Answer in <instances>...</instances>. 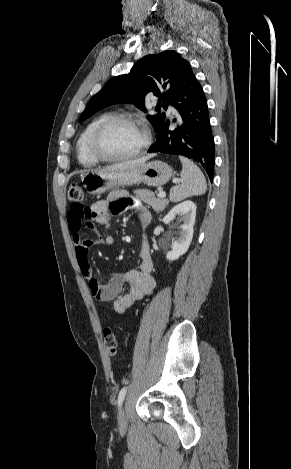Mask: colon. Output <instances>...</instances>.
<instances>
[{
	"instance_id": "obj_1",
	"label": "colon",
	"mask_w": 291,
	"mask_h": 469,
	"mask_svg": "<svg viewBox=\"0 0 291 469\" xmlns=\"http://www.w3.org/2000/svg\"><path fill=\"white\" fill-rule=\"evenodd\" d=\"M68 198L71 202L74 203V206L77 211L85 214L88 213V208L82 205V201L84 198V192L80 185L73 184L70 186L68 191ZM104 345L107 352L114 356L117 354L118 343L114 332L110 329L104 330Z\"/></svg>"
}]
</instances>
